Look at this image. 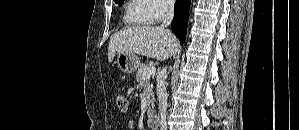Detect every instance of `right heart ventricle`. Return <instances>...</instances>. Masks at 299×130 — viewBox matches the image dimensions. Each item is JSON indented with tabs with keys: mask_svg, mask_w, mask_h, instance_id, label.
I'll list each match as a JSON object with an SVG mask.
<instances>
[{
	"mask_svg": "<svg viewBox=\"0 0 299 130\" xmlns=\"http://www.w3.org/2000/svg\"><path fill=\"white\" fill-rule=\"evenodd\" d=\"M124 21L129 25L144 26L152 23L150 5L146 0H131L126 7Z\"/></svg>",
	"mask_w": 299,
	"mask_h": 130,
	"instance_id": "obj_1",
	"label": "right heart ventricle"
}]
</instances>
